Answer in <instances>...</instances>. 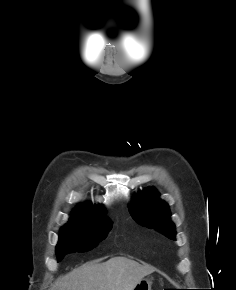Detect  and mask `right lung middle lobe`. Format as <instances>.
<instances>
[{"instance_id": "dd1d6c3e", "label": "right lung middle lobe", "mask_w": 236, "mask_h": 290, "mask_svg": "<svg viewBox=\"0 0 236 290\" xmlns=\"http://www.w3.org/2000/svg\"><path fill=\"white\" fill-rule=\"evenodd\" d=\"M112 223L108 220H96L85 223L70 222L61 228L56 247L58 262L63 256L72 252L92 249L103 240L110 231Z\"/></svg>"}]
</instances>
